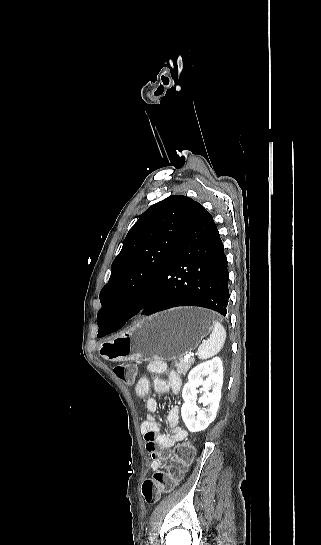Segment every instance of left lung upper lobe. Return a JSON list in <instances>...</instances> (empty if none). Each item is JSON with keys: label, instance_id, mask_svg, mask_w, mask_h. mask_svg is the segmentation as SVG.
<instances>
[{"label": "left lung upper lobe", "instance_id": "5c2ea615", "mask_svg": "<svg viewBox=\"0 0 321 545\" xmlns=\"http://www.w3.org/2000/svg\"><path fill=\"white\" fill-rule=\"evenodd\" d=\"M199 203L172 195L149 207L129 230L111 266L109 282L100 292L99 333L114 310L133 312L148 300L166 269L181 234Z\"/></svg>", "mask_w": 321, "mask_h": 545}]
</instances>
